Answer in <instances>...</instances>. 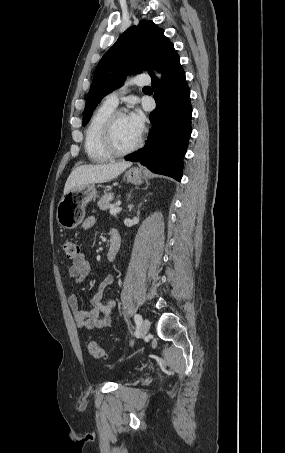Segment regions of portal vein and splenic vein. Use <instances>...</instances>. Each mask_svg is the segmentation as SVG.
<instances>
[{
    "label": "portal vein and splenic vein",
    "instance_id": "18ae733b",
    "mask_svg": "<svg viewBox=\"0 0 285 453\" xmlns=\"http://www.w3.org/2000/svg\"><path fill=\"white\" fill-rule=\"evenodd\" d=\"M121 211V207L119 206V204H117L116 206H112L111 209H110V214H117Z\"/></svg>",
    "mask_w": 285,
    "mask_h": 453
}]
</instances>
